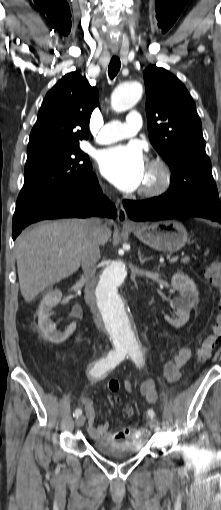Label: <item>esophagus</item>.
<instances>
[{"mask_svg": "<svg viewBox=\"0 0 221 510\" xmlns=\"http://www.w3.org/2000/svg\"><path fill=\"white\" fill-rule=\"evenodd\" d=\"M117 219L123 225L126 226L134 225V223L130 221V219L128 218L127 212L122 205H120L118 208Z\"/></svg>", "mask_w": 221, "mask_h": 510, "instance_id": "obj_1", "label": "esophagus"}]
</instances>
